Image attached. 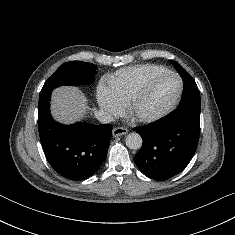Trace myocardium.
<instances>
[{
  "label": "myocardium",
  "instance_id": "1",
  "mask_svg": "<svg viewBox=\"0 0 235 235\" xmlns=\"http://www.w3.org/2000/svg\"><path fill=\"white\" fill-rule=\"evenodd\" d=\"M167 76L175 77L179 82V90H178V93H177L175 99L166 108H164L163 110H161L158 113H155L152 115L139 114L138 108H139L140 104L142 103V101L144 100V98L146 97V95L148 94L153 82H155L156 80H158L162 77H167ZM183 91H184V82H183L182 78L177 73H175L173 71H169V70L156 73V74L150 76L145 81V83L143 84L141 89L136 93V95L127 104V114L129 115V117L133 121H135L137 123L148 124V123L156 122V121L164 118L165 116H167L169 113H171L177 107V105L179 104V102L182 98Z\"/></svg>",
  "mask_w": 235,
  "mask_h": 235
}]
</instances>
